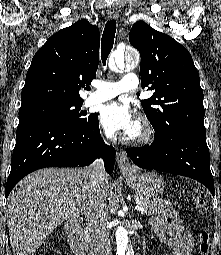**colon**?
<instances>
[{"instance_id":"colon-1","label":"colon","mask_w":221,"mask_h":255,"mask_svg":"<svg viewBox=\"0 0 221 255\" xmlns=\"http://www.w3.org/2000/svg\"><path fill=\"white\" fill-rule=\"evenodd\" d=\"M194 203L198 210L202 213L208 211V199L204 193H198L194 196ZM210 248V236L207 231H202L198 238V253L199 255H208Z\"/></svg>"}]
</instances>
